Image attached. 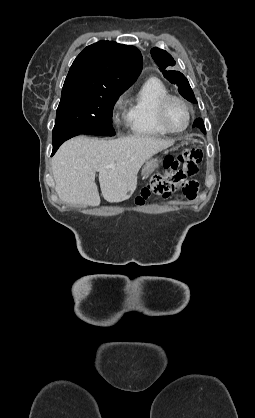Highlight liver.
<instances>
[{
    "mask_svg": "<svg viewBox=\"0 0 255 418\" xmlns=\"http://www.w3.org/2000/svg\"><path fill=\"white\" fill-rule=\"evenodd\" d=\"M174 140L130 136L114 140L75 137L65 142L52 159V172L59 198L69 204L98 206L99 183L104 199L119 203L130 198L137 187L142 165ZM112 165V168L107 166Z\"/></svg>",
    "mask_w": 255,
    "mask_h": 418,
    "instance_id": "liver-1",
    "label": "liver"
}]
</instances>
